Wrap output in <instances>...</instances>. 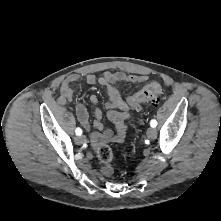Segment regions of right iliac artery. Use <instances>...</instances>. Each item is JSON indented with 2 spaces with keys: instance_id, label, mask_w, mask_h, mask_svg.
I'll return each mask as SVG.
<instances>
[{
  "instance_id": "82829eb1",
  "label": "right iliac artery",
  "mask_w": 221,
  "mask_h": 221,
  "mask_svg": "<svg viewBox=\"0 0 221 221\" xmlns=\"http://www.w3.org/2000/svg\"><path fill=\"white\" fill-rule=\"evenodd\" d=\"M75 133H76V135L80 136L82 134L81 128H79V127L76 128Z\"/></svg>"
}]
</instances>
